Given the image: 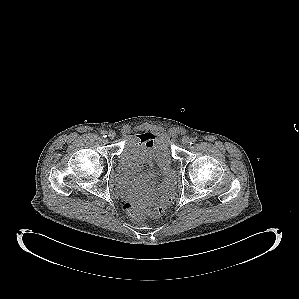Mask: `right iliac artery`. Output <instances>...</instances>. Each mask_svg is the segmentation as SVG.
Masks as SVG:
<instances>
[{"label": "right iliac artery", "instance_id": "right-iliac-artery-1", "mask_svg": "<svg viewBox=\"0 0 299 299\" xmlns=\"http://www.w3.org/2000/svg\"><path fill=\"white\" fill-rule=\"evenodd\" d=\"M101 134H102L103 137H107V132L106 131H102Z\"/></svg>", "mask_w": 299, "mask_h": 299}]
</instances>
